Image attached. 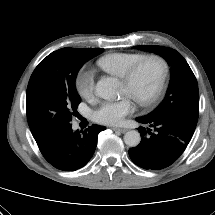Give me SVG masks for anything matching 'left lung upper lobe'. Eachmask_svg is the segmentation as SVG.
Segmentation results:
<instances>
[{
	"instance_id": "5c2ea615",
	"label": "left lung upper lobe",
	"mask_w": 215,
	"mask_h": 215,
	"mask_svg": "<svg viewBox=\"0 0 215 215\" xmlns=\"http://www.w3.org/2000/svg\"><path fill=\"white\" fill-rule=\"evenodd\" d=\"M164 57L171 66V79L164 100L148 117H172L195 128L199 116V91L197 80L182 55L174 49L155 46H135Z\"/></svg>"
}]
</instances>
